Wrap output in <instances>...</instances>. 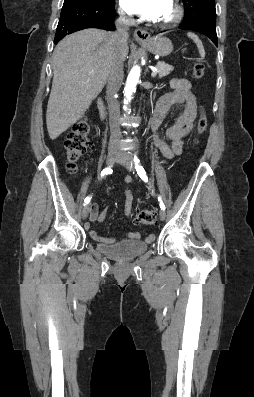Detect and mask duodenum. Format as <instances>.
Masks as SVG:
<instances>
[{"label":"duodenum","mask_w":254,"mask_h":397,"mask_svg":"<svg viewBox=\"0 0 254 397\" xmlns=\"http://www.w3.org/2000/svg\"><path fill=\"white\" fill-rule=\"evenodd\" d=\"M97 106H98V111H99L100 117L102 119H104L106 116V108H105V104H104V101L102 98L98 99Z\"/></svg>","instance_id":"obj_1"}]
</instances>
